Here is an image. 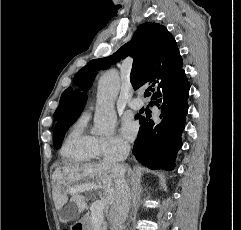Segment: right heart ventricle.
Returning a JSON list of instances; mask_svg holds the SVG:
<instances>
[{
  "instance_id": "1",
  "label": "right heart ventricle",
  "mask_w": 241,
  "mask_h": 230,
  "mask_svg": "<svg viewBox=\"0 0 241 230\" xmlns=\"http://www.w3.org/2000/svg\"><path fill=\"white\" fill-rule=\"evenodd\" d=\"M88 114L81 115L69 129L63 145L62 158L71 164H81L93 161L100 157L97 140L87 131Z\"/></svg>"
}]
</instances>
